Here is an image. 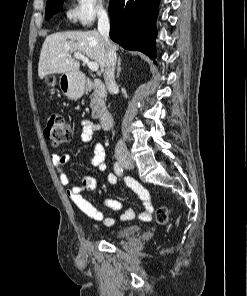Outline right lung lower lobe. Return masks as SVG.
Segmentation results:
<instances>
[{"mask_svg": "<svg viewBox=\"0 0 247 296\" xmlns=\"http://www.w3.org/2000/svg\"><path fill=\"white\" fill-rule=\"evenodd\" d=\"M160 0H111L110 38L128 50L156 58V18Z\"/></svg>", "mask_w": 247, "mask_h": 296, "instance_id": "1", "label": "right lung lower lobe"}]
</instances>
